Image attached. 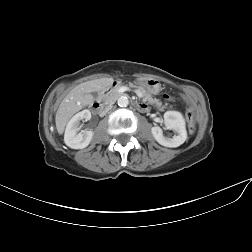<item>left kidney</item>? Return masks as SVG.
<instances>
[{
	"label": "left kidney",
	"mask_w": 252,
	"mask_h": 252,
	"mask_svg": "<svg viewBox=\"0 0 252 252\" xmlns=\"http://www.w3.org/2000/svg\"><path fill=\"white\" fill-rule=\"evenodd\" d=\"M164 121L167 129L173 130L177 133L172 138L164 136L163 131L159 126H154L151 129L155 140L165 147H178L187 139V132L185 128V120L180 112L167 111L164 113Z\"/></svg>",
	"instance_id": "obj_1"
}]
</instances>
